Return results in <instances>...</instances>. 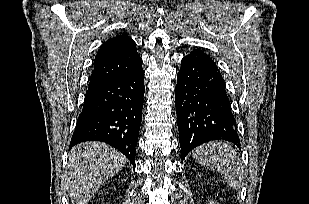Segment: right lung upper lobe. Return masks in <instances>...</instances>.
I'll return each instance as SVG.
<instances>
[{"mask_svg":"<svg viewBox=\"0 0 309 204\" xmlns=\"http://www.w3.org/2000/svg\"><path fill=\"white\" fill-rule=\"evenodd\" d=\"M141 62L136 43L131 38L125 34L112 37L104 42L97 52L89 86L128 73L140 66Z\"/></svg>","mask_w":309,"mask_h":204,"instance_id":"obj_1","label":"right lung upper lobe"}]
</instances>
